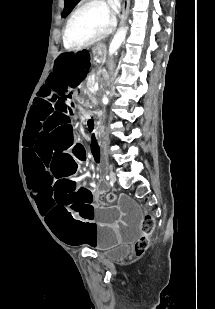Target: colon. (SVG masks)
I'll return each instance as SVG.
<instances>
[{
	"mask_svg": "<svg viewBox=\"0 0 215 309\" xmlns=\"http://www.w3.org/2000/svg\"><path fill=\"white\" fill-rule=\"evenodd\" d=\"M108 200L110 204H114L115 195L109 194ZM155 222L154 219L150 215H145L142 220V229L144 231V235L138 239L134 244V250L136 254L144 253L148 248L149 243V235L154 230Z\"/></svg>",
	"mask_w": 215,
	"mask_h": 309,
	"instance_id": "5ec220e1",
	"label": "colon"
}]
</instances>
